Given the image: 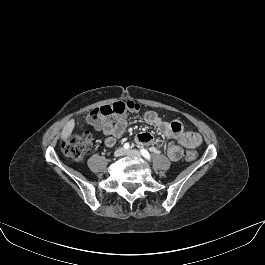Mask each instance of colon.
Returning a JSON list of instances; mask_svg holds the SVG:
<instances>
[{
	"label": "colon",
	"instance_id": "1",
	"mask_svg": "<svg viewBox=\"0 0 265 265\" xmlns=\"http://www.w3.org/2000/svg\"><path fill=\"white\" fill-rule=\"evenodd\" d=\"M141 109L140 105L134 101H117L112 104H107L93 109L89 116V122L98 126L106 120L113 117H122L129 113L138 112ZM92 146V137L89 132L71 133L62 142V151L74 161H82ZM198 157L196 150H188L185 158L188 161H193Z\"/></svg>",
	"mask_w": 265,
	"mask_h": 265
}]
</instances>
